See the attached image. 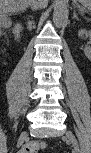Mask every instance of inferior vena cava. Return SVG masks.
I'll return each instance as SVG.
<instances>
[{
	"label": "inferior vena cava",
	"instance_id": "obj_1",
	"mask_svg": "<svg viewBox=\"0 0 91 153\" xmlns=\"http://www.w3.org/2000/svg\"><path fill=\"white\" fill-rule=\"evenodd\" d=\"M47 0H32L31 1V6L37 10V9H42L47 6Z\"/></svg>",
	"mask_w": 91,
	"mask_h": 153
}]
</instances>
